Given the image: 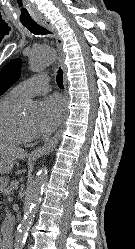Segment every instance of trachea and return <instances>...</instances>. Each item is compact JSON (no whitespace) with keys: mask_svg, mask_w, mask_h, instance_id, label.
Listing matches in <instances>:
<instances>
[{"mask_svg":"<svg viewBox=\"0 0 135 249\" xmlns=\"http://www.w3.org/2000/svg\"><path fill=\"white\" fill-rule=\"evenodd\" d=\"M24 27H26L31 33L35 35H45V34H51V32L46 29L45 27L37 24L36 22H26L22 23ZM57 85L63 89V72L62 69L60 68L58 70V75L56 78Z\"/></svg>","mask_w":135,"mask_h":249,"instance_id":"trachea-1","label":"trachea"}]
</instances>
